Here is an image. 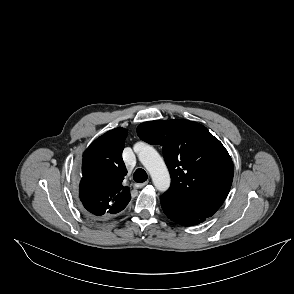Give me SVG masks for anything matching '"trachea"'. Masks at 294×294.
Masks as SVG:
<instances>
[{"instance_id": "3493384b", "label": "trachea", "mask_w": 294, "mask_h": 294, "mask_svg": "<svg viewBox=\"0 0 294 294\" xmlns=\"http://www.w3.org/2000/svg\"><path fill=\"white\" fill-rule=\"evenodd\" d=\"M133 179L137 183H143L148 179V175L145 170L138 168L133 174Z\"/></svg>"}]
</instances>
